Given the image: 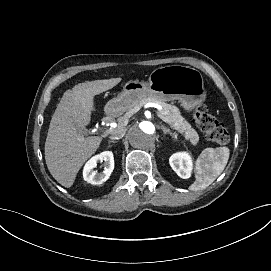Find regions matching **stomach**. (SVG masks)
I'll use <instances>...</instances> for the list:
<instances>
[{"label": "stomach", "instance_id": "1", "mask_svg": "<svg viewBox=\"0 0 271 271\" xmlns=\"http://www.w3.org/2000/svg\"><path fill=\"white\" fill-rule=\"evenodd\" d=\"M148 97L162 101L178 100L185 112L192 113L204 104L208 92L198 70L189 66L168 65L153 70L148 81L128 80L120 95L107 103L105 111L121 114L135 108Z\"/></svg>", "mask_w": 271, "mask_h": 271}]
</instances>
